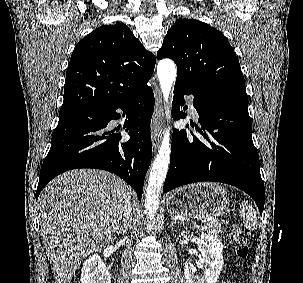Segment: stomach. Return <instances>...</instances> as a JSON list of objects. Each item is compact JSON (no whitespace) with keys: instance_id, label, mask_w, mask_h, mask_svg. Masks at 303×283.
<instances>
[{"instance_id":"stomach-1","label":"stomach","mask_w":303,"mask_h":283,"mask_svg":"<svg viewBox=\"0 0 303 283\" xmlns=\"http://www.w3.org/2000/svg\"><path fill=\"white\" fill-rule=\"evenodd\" d=\"M229 206L226 190L216 183L187 185L167 197V209L175 215L192 219H212L224 214Z\"/></svg>"}]
</instances>
